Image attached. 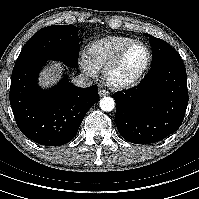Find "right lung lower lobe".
I'll use <instances>...</instances> for the list:
<instances>
[{"label": "right lung lower lobe", "mask_w": 199, "mask_h": 199, "mask_svg": "<svg viewBox=\"0 0 199 199\" xmlns=\"http://www.w3.org/2000/svg\"><path fill=\"white\" fill-rule=\"evenodd\" d=\"M45 64L35 62L12 72L10 104L26 137L41 145L60 146L77 134L85 114L99 100L98 88H80L63 78L52 89L41 90L37 77Z\"/></svg>", "instance_id": "1"}]
</instances>
